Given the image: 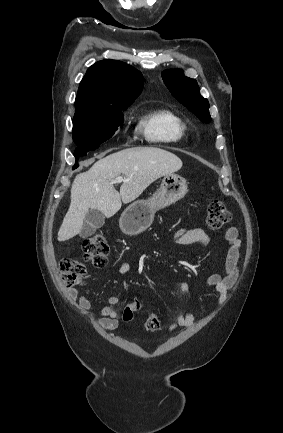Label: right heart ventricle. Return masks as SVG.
Wrapping results in <instances>:
<instances>
[{
	"label": "right heart ventricle",
	"instance_id": "1",
	"mask_svg": "<svg viewBox=\"0 0 283 433\" xmlns=\"http://www.w3.org/2000/svg\"><path fill=\"white\" fill-rule=\"evenodd\" d=\"M135 129L150 142L174 143L187 134L183 120L169 110H155L137 116Z\"/></svg>",
	"mask_w": 283,
	"mask_h": 433
}]
</instances>
